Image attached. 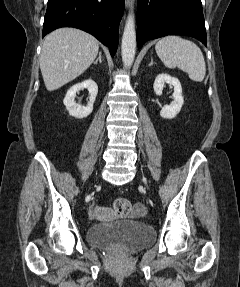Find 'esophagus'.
Instances as JSON below:
<instances>
[{"instance_id":"34e87169","label":"esophagus","mask_w":240,"mask_h":287,"mask_svg":"<svg viewBox=\"0 0 240 287\" xmlns=\"http://www.w3.org/2000/svg\"><path fill=\"white\" fill-rule=\"evenodd\" d=\"M126 6L129 7L131 4V0H125Z\"/></svg>"}]
</instances>
